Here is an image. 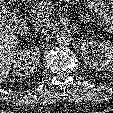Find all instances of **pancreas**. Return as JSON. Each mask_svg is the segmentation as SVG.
Wrapping results in <instances>:
<instances>
[{"label": "pancreas", "instance_id": "cf45deb5", "mask_svg": "<svg viewBox=\"0 0 113 113\" xmlns=\"http://www.w3.org/2000/svg\"><path fill=\"white\" fill-rule=\"evenodd\" d=\"M49 8L48 3L44 0L39 1L36 3L30 12V17L33 22L36 23H42L49 19L48 13H46V10Z\"/></svg>", "mask_w": 113, "mask_h": 113}]
</instances>
